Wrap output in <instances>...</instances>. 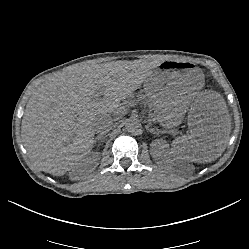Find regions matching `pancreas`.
<instances>
[{
	"label": "pancreas",
	"instance_id": "cf45deb5",
	"mask_svg": "<svg viewBox=\"0 0 249 249\" xmlns=\"http://www.w3.org/2000/svg\"><path fill=\"white\" fill-rule=\"evenodd\" d=\"M141 98H143V99H144V98H145V96H142Z\"/></svg>",
	"mask_w": 249,
	"mask_h": 249
}]
</instances>
